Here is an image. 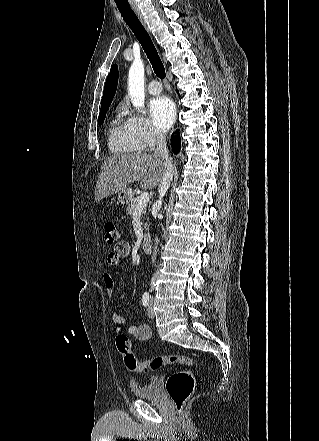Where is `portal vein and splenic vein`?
Listing matches in <instances>:
<instances>
[{"instance_id":"obj_1","label":"portal vein and splenic vein","mask_w":319,"mask_h":441,"mask_svg":"<svg viewBox=\"0 0 319 441\" xmlns=\"http://www.w3.org/2000/svg\"><path fill=\"white\" fill-rule=\"evenodd\" d=\"M150 196L148 194V192H144L140 195L139 200H138V205L136 208V211L134 214H138L140 213L144 207L147 205V203L149 202Z\"/></svg>"}]
</instances>
